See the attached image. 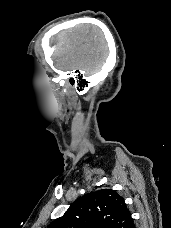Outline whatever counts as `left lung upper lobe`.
Returning <instances> with one entry per match:
<instances>
[{"label": "left lung upper lobe", "instance_id": "obj_1", "mask_svg": "<svg viewBox=\"0 0 171 228\" xmlns=\"http://www.w3.org/2000/svg\"><path fill=\"white\" fill-rule=\"evenodd\" d=\"M131 213L115 190L102 189L76 200L48 228H124Z\"/></svg>", "mask_w": 171, "mask_h": 228}]
</instances>
